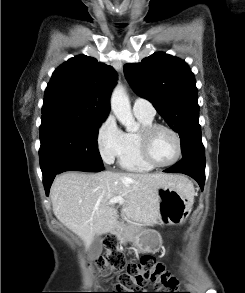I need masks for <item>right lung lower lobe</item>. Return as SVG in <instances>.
<instances>
[{"label":"right lung lower lobe","mask_w":245,"mask_h":293,"mask_svg":"<svg viewBox=\"0 0 245 293\" xmlns=\"http://www.w3.org/2000/svg\"><path fill=\"white\" fill-rule=\"evenodd\" d=\"M103 165L91 164L88 162H80V161H69L64 162L58 165L51 173L43 176V183L45 187L46 194H49L50 186L55 178V176L59 173L77 170V171H85V172H99L102 171Z\"/></svg>","instance_id":"right-lung-lower-lobe-1"}]
</instances>
